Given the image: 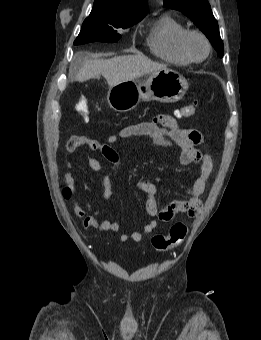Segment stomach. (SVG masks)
I'll return each instance as SVG.
<instances>
[{"label":"stomach","instance_id":"0dacf381","mask_svg":"<svg viewBox=\"0 0 261 340\" xmlns=\"http://www.w3.org/2000/svg\"><path fill=\"white\" fill-rule=\"evenodd\" d=\"M187 89V80L178 72L166 68L149 74L145 79L125 81L109 87L107 101L113 110L128 112L140 101H179Z\"/></svg>","mask_w":261,"mask_h":340}]
</instances>
